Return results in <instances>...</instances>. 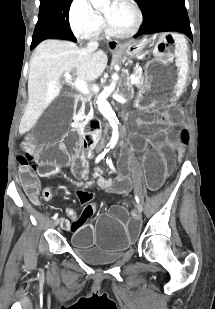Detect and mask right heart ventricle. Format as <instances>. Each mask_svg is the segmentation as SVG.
I'll use <instances>...</instances> for the list:
<instances>
[{
    "label": "right heart ventricle",
    "mask_w": 215,
    "mask_h": 309,
    "mask_svg": "<svg viewBox=\"0 0 215 309\" xmlns=\"http://www.w3.org/2000/svg\"><path fill=\"white\" fill-rule=\"evenodd\" d=\"M91 32H97V29H91ZM98 36H101V33H98Z\"/></svg>",
    "instance_id": "obj_1"
}]
</instances>
